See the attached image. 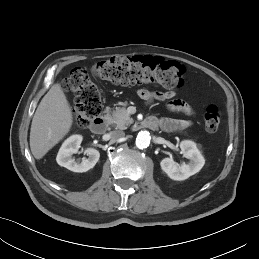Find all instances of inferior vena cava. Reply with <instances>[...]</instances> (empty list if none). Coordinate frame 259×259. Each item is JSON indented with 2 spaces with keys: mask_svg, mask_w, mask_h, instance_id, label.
<instances>
[{
  "mask_svg": "<svg viewBox=\"0 0 259 259\" xmlns=\"http://www.w3.org/2000/svg\"><path fill=\"white\" fill-rule=\"evenodd\" d=\"M110 135L113 140H120L124 138L125 133L122 130H114L110 132Z\"/></svg>",
  "mask_w": 259,
  "mask_h": 259,
  "instance_id": "602c4592",
  "label": "inferior vena cava"
}]
</instances>
